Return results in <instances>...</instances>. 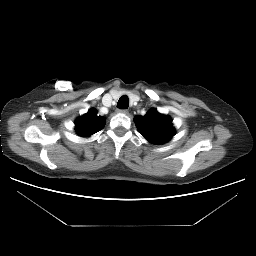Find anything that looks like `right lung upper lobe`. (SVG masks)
Returning a JSON list of instances; mask_svg holds the SVG:
<instances>
[{
	"mask_svg": "<svg viewBox=\"0 0 256 256\" xmlns=\"http://www.w3.org/2000/svg\"><path fill=\"white\" fill-rule=\"evenodd\" d=\"M75 125V129L80 136L88 137L103 129L105 125V118L98 116L97 111L91 109L88 113L78 118Z\"/></svg>",
	"mask_w": 256,
	"mask_h": 256,
	"instance_id": "cb5924a9",
	"label": "right lung upper lobe"
}]
</instances>
